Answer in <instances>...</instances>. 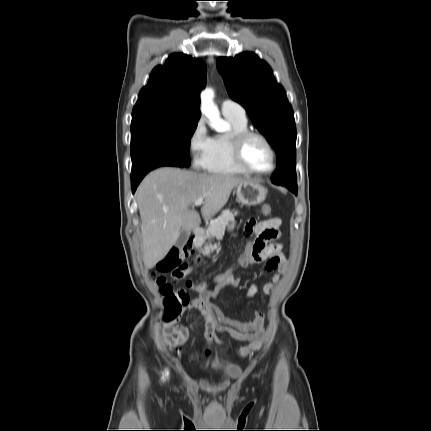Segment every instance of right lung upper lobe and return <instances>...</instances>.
Listing matches in <instances>:
<instances>
[{"instance_id":"cb5924a9","label":"right lung upper lobe","mask_w":431,"mask_h":431,"mask_svg":"<svg viewBox=\"0 0 431 431\" xmlns=\"http://www.w3.org/2000/svg\"><path fill=\"white\" fill-rule=\"evenodd\" d=\"M206 84L205 63L174 53L152 71L139 93L132 118L158 115L199 120L200 91Z\"/></svg>"}]
</instances>
